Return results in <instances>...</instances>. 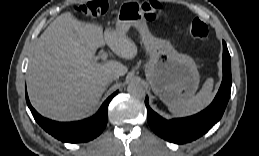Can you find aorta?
<instances>
[{"instance_id": "aorta-1", "label": "aorta", "mask_w": 259, "mask_h": 156, "mask_svg": "<svg viewBox=\"0 0 259 156\" xmlns=\"http://www.w3.org/2000/svg\"><path fill=\"white\" fill-rule=\"evenodd\" d=\"M128 94L136 99L145 97V89L139 82H131L127 87Z\"/></svg>"}]
</instances>
